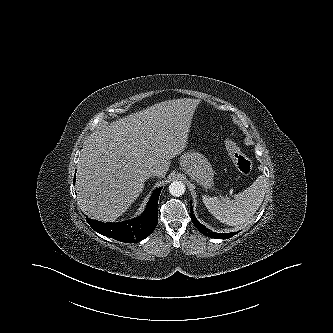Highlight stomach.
<instances>
[{"label": "stomach", "mask_w": 333, "mask_h": 333, "mask_svg": "<svg viewBox=\"0 0 333 333\" xmlns=\"http://www.w3.org/2000/svg\"><path fill=\"white\" fill-rule=\"evenodd\" d=\"M181 169L205 188L213 184L214 171L208 159L195 149L187 150L180 162Z\"/></svg>", "instance_id": "1"}]
</instances>
